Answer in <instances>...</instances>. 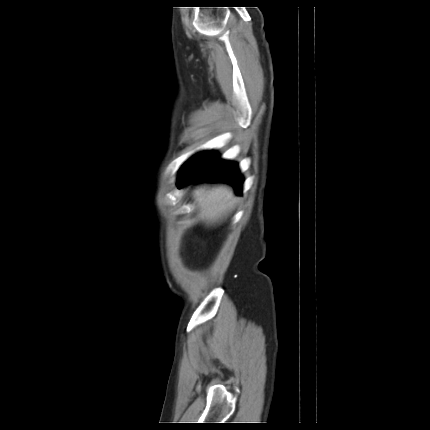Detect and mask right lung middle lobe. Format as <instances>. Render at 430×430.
<instances>
[{
	"mask_svg": "<svg viewBox=\"0 0 430 430\" xmlns=\"http://www.w3.org/2000/svg\"><path fill=\"white\" fill-rule=\"evenodd\" d=\"M204 153L205 152H201V153H199V154H197V155H195L193 158H191L183 167H182V169L184 168V167H187V166H190L191 164H193L197 159H199L202 155H204Z\"/></svg>",
	"mask_w": 430,
	"mask_h": 430,
	"instance_id": "right-lung-middle-lobe-1",
	"label": "right lung middle lobe"
}]
</instances>
